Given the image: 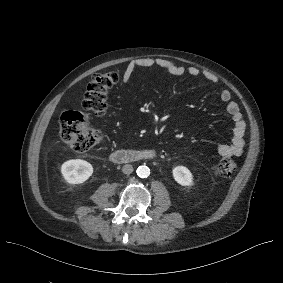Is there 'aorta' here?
Masks as SVG:
<instances>
[{
	"label": "aorta",
	"mask_w": 283,
	"mask_h": 283,
	"mask_svg": "<svg viewBox=\"0 0 283 283\" xmlns=\"http://www.w3.org/2000/svg\"><path fill=\"white\" fill-rule=\"evenodd\" d=\"M136 173L140 178H147L150 175V169L147 166H139Z\"/></svg>",
	"instance_id": "1"
}]
</instances>
